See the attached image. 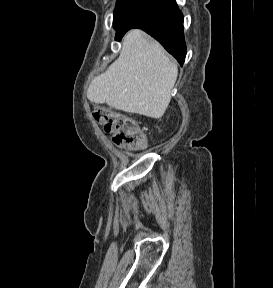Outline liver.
Wrapping results in <instances>:
<instances>
[{"label":"liver","mask_w":273,"mask_h":288,"mask_svg":"<svg viewBox=\"0 0 273 288\" xmlns=\"http://www.w3.org/2000/svg\"><path fill=\"white\" fill-rule=\"evenodd\" d=\"M177 75L176 63L161 45L134 29L125 36L118 59L92 80L87 98L116 110L159 119L170 103Z\"/></svg>","instance_id":"liver-1"}]
</instances>
